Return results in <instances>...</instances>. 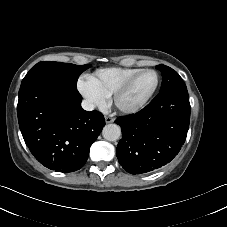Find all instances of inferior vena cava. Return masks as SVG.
Returning a JSON list of instances; mask_svg holds the SVG:
<instances>
[{
	"instance_id": "inferior-vena-cava-1",
	"label": "inferior vena cava",
	"mask_w": 227,
	"mask_h": 227,
	"mask_svg": "<svg viewBox=\"0 0 227 227\" xmlns=\"http://www.w3.org/2000/svg\"><path fill=\"white\" fill-rule=\"evenodd\" d=\"M82 108L86 111H92L95 109V104L90 100H83L82 101Z\"/></svg>"
}]
</instances>
